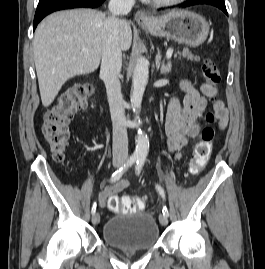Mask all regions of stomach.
Masks as SVG:
<instances>
[{"mask_svg":"<svg viewBox=\"0 0 265 269\" xmlns=\"http://www.w3.org/2000/svg\"><path fill=\"white\" fill-rule=\"evenodd\" d=\"M152 35L165 37L190 47L204 43L210 26L204 17L187 10H173L155 17L150 24H141Z\"/></svg>","mask_w":265,"mask_h":269,"instance_id":"stomach-1","label":"stomach"}]
</instances>
